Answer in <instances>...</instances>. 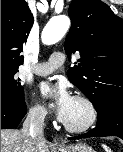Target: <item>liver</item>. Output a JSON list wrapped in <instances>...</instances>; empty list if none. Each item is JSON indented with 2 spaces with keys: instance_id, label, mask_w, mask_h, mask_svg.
<instances>
[{
  "instance_id": "liver-1",
  "label": "liver",
  "mask_w": 123,
  "mask_h": 152,
  "mask_svg": "<svg viewBox=\"0 0 123 152\" xmlns=\"http://www.w3.org/2000/svg\"><path fill=\"white\" fill-rule=\"evenodd\" d=\"M1 152H49L46 141H36L18 130H1Z\"/></svg>"
}]
</instances>
